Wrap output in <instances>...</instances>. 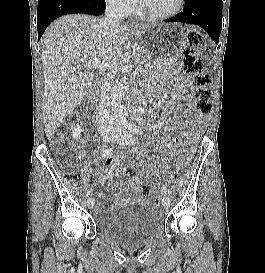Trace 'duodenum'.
<instances>
[{
  "label": "duodenum",
  "mask_w": 265,
  "mask_h": 273,
  "mask_svg": "<svg viewBox=\"0 0 265 273\" xmlns=\"http://www.w3.org/2000/svg\"><path fill=\"white\" fill-rule=\"evenodd\" d=\"M141 115H142L141 112H138V113H137V117H138V118H141Z\"/></svg>",
  "instance_id": "410a0bca"
}]
</instances>
